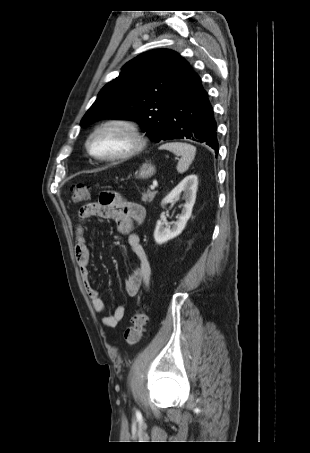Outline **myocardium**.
I'll list each match as a JSON object with an SVG mask.
<instances>
[{"mask_svg":"<svg viewBox=\"0 0 310 453\" xmlns=\"http://www.w3.org/2000/svg\"><path fill=\"white\" fill-rule=\"evenodd\" d=\"M111 128H118V129L125 131L131 138V141H132L131 147L123 152L113 154V155L102 156V155L96 154L91 148L92 139L96 135H98L108 129H111ZM145 145H146V139H145L144 135L142 134L140 128L138 127V125L135 122L128 120V119H111V120H108V121H105V122L99 124L88 135L86 142H85V148H86V151L88 152V154L93 159L100 161V162H115V161H120V160H125L128 158H131V157L139 154L145 148Z\"/></svg>","mask_w":310,"mask_h":453,"instance_id":"obj_1","label":"myocardium"}]
</instances>
